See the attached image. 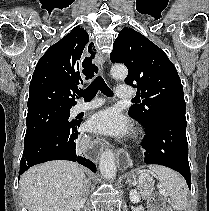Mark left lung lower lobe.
<instances>
[{
    "label": "left lung lower lobe",
    "instance_id": "obj_1",
    "mask_svg": "<svg viewBox=\"0 0 209 211\" xmlns=\"http://www.w3.org/2000/svg\"><path fill=\"white\" fill-rule=\"evenodd\" d=\"M141 143L145 149L146 164H159L181 173L191 188L186 138L185 115H171L158 119L149 128Z\"/></svg>",
    "mask_w": 209,
    "mask_h": 211
}]
</instances>
